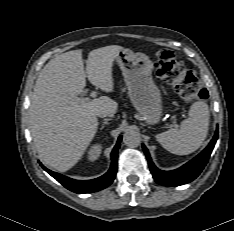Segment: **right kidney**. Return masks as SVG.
<instances>
[{"label":"right kidney","instance_id":"right-kidney-1","mask_svg":"<svg viewBox=\"0 0 234 231\" xmlns=\"http://www.w3.org/2000/svg\"><path fill=\"white\" fill-rule=\"evenodd\" d=\"M102 151L101 144H94L91 146V148L88 151V159L90 161H95L99 158Z\"/></svg>","mask_w":234,"mask_h":231}]
</instances>
